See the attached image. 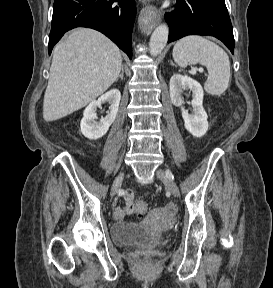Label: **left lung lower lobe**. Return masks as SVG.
I'll use <instances>...</instances> for the list:
<instances>
[{
	"label": "left lung lower lobe",
	"instance_id": "left-lung-lower-lobe-1",
	"mask_svg": "<svg viewBox=\"0 0 273 288\" xmlns=\"http://www.w3.org/2000/svg\"><path fill=\"white\" fill-rule=\"evenodd\" d=\"M168 43L187 35H211L234 53V36L224 0H177L173 12L165 14Z\"/></svg>",
	"mask_w": 273,
	"mask_h": 288
}]
</instances>
